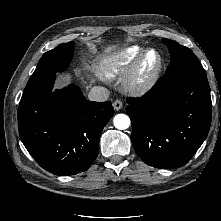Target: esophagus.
<instances>
[{
  "label": "esophagus",
  "instance_id": "34e87169",
  "mask_svg": "<svg viewBox=\"0 0 221 221\" xmlns=\"http://www.w3.org/2000/svg\"><path fill=\"white\" fill-rule=\"evenodd\" d=\"M113 107H114V109H115L116 111H119V110L122 109V107H123L122 101L119 100V99L115 100L114 103H113Z\"/></svg>",
  "mask_w": 221,
  "mask_h": 221
}]
</instances>
